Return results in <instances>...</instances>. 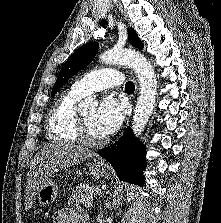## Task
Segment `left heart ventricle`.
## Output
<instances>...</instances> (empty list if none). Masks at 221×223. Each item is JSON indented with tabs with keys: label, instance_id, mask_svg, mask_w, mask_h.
<instances>
[{
	"label": "left heart ventricle",
	"instance_id": "b2bd125f",
	"mask_svg": "<svg viewBox=\"0 0 221 223\" xmlns=\"http://www.w3.org/2000/svg\"><path fill=\"white\" fill-rule=\"evenodd\" d=\"M83 118L86 121V124L88 126L89 132L91 136L93 137H104V135L98 130L97 125H96V111L95 110H90L84 113Z\"/></svg>",
	"mask_w": 221,
	"mask_h": 223
}]
</instances>
